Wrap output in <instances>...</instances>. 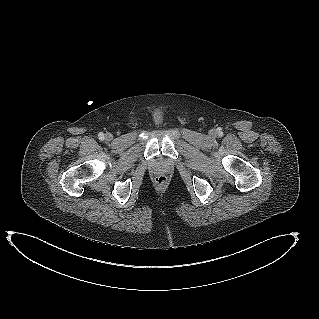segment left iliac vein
I'll return each mask as SVG.
<instances>
[{
  "mask_svg": "<svg viewBox=\"0 0 319 319\" xmlns=\"http://www.w3.org/2000/svg\"><path fill=\"white\" fill-rule=\"evenodd\" d=\"M211 134L214 135V131H212Z\"/></svg>",
  "mask_w": 319,
  "mask_h": 319,
  "instance_id": "4c4485c4",
  "label": "left iliac vein"
}]
</instances>
